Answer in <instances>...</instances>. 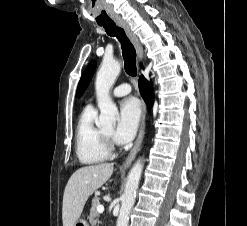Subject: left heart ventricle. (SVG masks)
Masks as SVG:
<instances>
[{"label": "left heart ventricle", "instance_id": "left-heart-ventricle-1", "mask_svg": "<svg viewBox=\"0 0 247 226\" xmlns=\"http://www.w3.org/2000/svg\"><path fill=\"white\" fill-rule=\"evenodd\" d=\"M104 133L111 136L112 135V130H105Z\"/></svg>", "mask_w": 247, "mask_h": 226}]
</instances>
